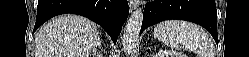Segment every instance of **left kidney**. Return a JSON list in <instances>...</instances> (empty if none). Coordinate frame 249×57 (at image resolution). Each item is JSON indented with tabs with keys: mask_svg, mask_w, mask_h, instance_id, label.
<instances>
[{
	"mask_svg": "<svg viewBox=\"0 0 249 57\" xmlns=\"http://www.w3.org/2000/svg\"><path fill=\"white\" fill-rule=\"evenodd\" d=\"M153 57H186L182 52L175 50H159Z\"/></svg>",
	"mask_w": 249,
	"mask_h": 57,
	"instance_id": "5707ae66",
	"label": "left kidney"
}]
</instances>
